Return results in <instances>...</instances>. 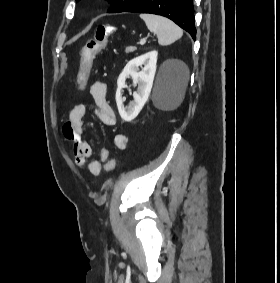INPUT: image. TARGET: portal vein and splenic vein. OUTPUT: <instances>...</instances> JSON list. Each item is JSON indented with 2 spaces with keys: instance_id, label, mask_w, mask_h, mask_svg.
<instances>
[{
  "instance_id": "1",
  "label": "portal vein and splenic vein",
  "mask_w": 280,
  "mask_h": 283,
  "mask_svg": "<svg viewBox=\"0 0 280 283\" xmlns=\"http://www.w3.org/2000/svg\"><path fill=\"white\" fill-rule=\"evenodd\" d=\"M145 42H146V39L143 38V39L140 40L139 44H140V45H144Z\"/></svg>"
}]
</instances>
